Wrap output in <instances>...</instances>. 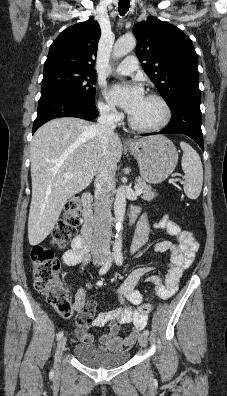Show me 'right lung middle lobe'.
Here are the masks:
<instances>
[{
    "mask_svg": "<svg viewBox=\"0 0 227 396\" xmlns=\"http://www.w3.org/2000/svg\"><path fill=\"white\" fill-rule=\"evenodd\" d=\"M95 77L93 73L70 69L44 71L41 82V97L52 94H66L80 100L94 103Z\"/></svg>",
    "mask_w": 227,
    "mask_h": 396,
    "instance_id": "right-lung-middle-lobe-1",
    "label": "right lung middle lobe"
}]
</instances>
